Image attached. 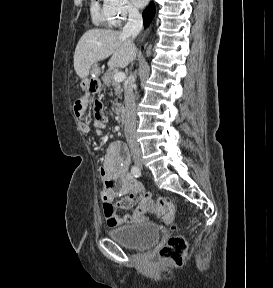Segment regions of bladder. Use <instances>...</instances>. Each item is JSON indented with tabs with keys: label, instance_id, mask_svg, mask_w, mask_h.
<instances>
[{
	"label": "bladder",
	"instance_id": "31cf9c89",
	"mask_svg": "<svg viewBox=\"0 0 273 288\" xmlns=\"http://www.w3.org/2000/svg\"><path fill=\"white\" fill-rule=\"evenodd\" d=\"M109 237L116 243L131 250H145L161 238L157 225L151 222L133 223L111 229Z\"/></svg>",
	"mask_w": 273,
	"mask_h": 288
}]
</instances>
